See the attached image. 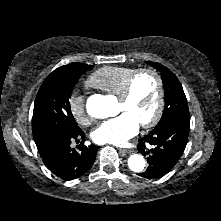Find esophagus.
<instances>
[{"mask_svg":"<svg viewBox=\"0 0 221 221\" xmlns=\"http://www.w3.org/2000/svg\"><path fill=\"white\" fill-rule=\"evenodd\" d=\"M119 151L124 152V153H133V152H135L133 149H130V148H120Z\"/></svg>","mask_w":221,"mask_h":221,"instance_id":"esophagus-1","label":"esophagus"}]
</instances>
